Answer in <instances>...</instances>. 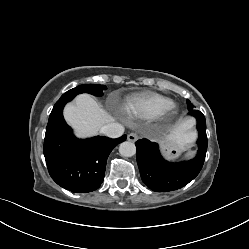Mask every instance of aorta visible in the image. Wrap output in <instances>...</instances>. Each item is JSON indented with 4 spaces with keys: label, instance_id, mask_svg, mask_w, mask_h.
<instances>
[{
    "label": "aorta",
    "instance_id": "obj_1",
    "mask_svg": "<svg viewBox=\"0 0 249 249\" xmlns=\"http://www.w3.org/2000/svg\"><path fill=\"white\" fill-rule=\"evenodd\" d=\"M119 153L124 157H131L135 155V144L129 141L122 142L119 146Z\"/></svg>",
    "mask_w": 249,
    "mask_h": 249
}]
</instances>
